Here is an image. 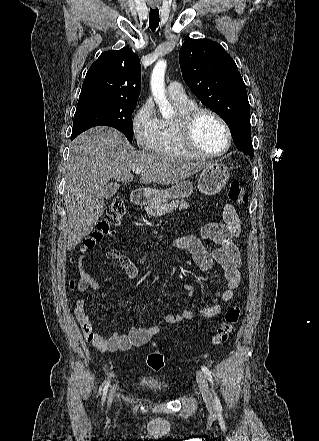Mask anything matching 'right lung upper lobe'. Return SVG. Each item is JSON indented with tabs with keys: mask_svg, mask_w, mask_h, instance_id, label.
Listing matches in <instances>:
<instances>
[{
	"mask_svg": "<svg viewBox=\"0 0 319 441\" xmlns=\"http://www.w3.org/2000/svg\"><path fill=\"white\" fill-rule=\"evenodd\" d=\"M141 87L139 57L129 48L103 52L90 66L79 100H118L137 103Z\"/></svg>",
	"mask_w": 319,
	"mask_h": 441,
	"instance_id": "right-lung-upper-lobe-1",
	"label": "right lung upper lobe"
}]
</instances>
